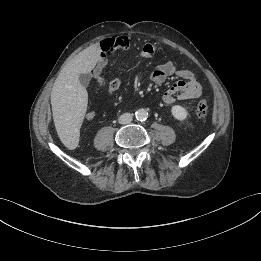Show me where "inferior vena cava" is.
I'll return each instance as SVG.
<instances>
[{
	"label": "inferior vena cava",
	"mask_w": 261,
	"mask_h": 261,
	"mask_svg": "<svg viewBox=\"0 0 261 261\" xmlns=\"http://www.w3.org/2000/svg\"><path fill=\"white\" fill-rule=\"evenodd\" d=\"M132 115L130 113H123L120 115L118 121L120 124H128L132 121Z\"/></svg>",
	"instance_id": "inferior-vena-cava-1"
}]
</instances>
